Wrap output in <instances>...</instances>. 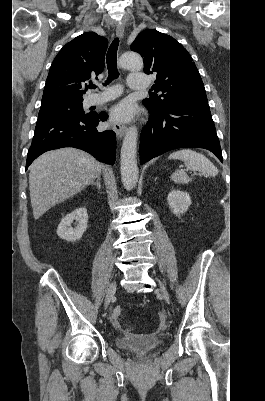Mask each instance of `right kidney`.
<instances>
[{
	"label": "right kidney",
	"mask_w": 265,
	"mask_h": 401,
	"mask_svg": "<svg viewBox=\"0 0 265 401\" xmlns=\"http://www.w3.org/2000/svg\"><path fill=\"white\" fill-rule=\"evenodd\" d=\"M73 221H77L78 225L75 229H72L71 225ZM88 225V213L85 207L75 209L70 215L63 217L61 223L57 227V235L60 239L65 241H78L81 239L83 233H85Z\"/></svg>",
	"instance_id": "ca27d5eb"
}]
</instances>
